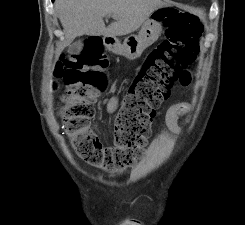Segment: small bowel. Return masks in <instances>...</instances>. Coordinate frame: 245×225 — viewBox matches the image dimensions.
I'll use <instances>...</instances> for the list:
<instances>
[{
    "label": "small bowel",
    "mask_w": 245,
    "mask_h": 225,
    "mask_svg": "<svg viewBox=\"0 0 245 225\" xmlns=\"http://www.w3.org/2000/svg\"><path fill=\"white\" fill-rule=\"evenodd\" d=\"M119 102L120 101L118 96L115 95L111 96L105 103L106 112L110 115L114 114L118 109ZM156 114H159V111H157ZM178 119H179L178 106L171 105L166 111L165 120L169 130L174 134H178L181 129L178 123Z\"/></svg>",
    "instance_id": "small-bowel-1"
}]
</instances>
